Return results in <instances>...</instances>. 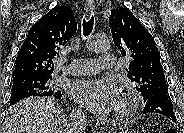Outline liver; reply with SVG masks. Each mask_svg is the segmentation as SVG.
<instances>
[{"mask_svg": "<svg viewBox=\"0 0 184 133\" xmlns=\"http://www.w3.org/2000/svg\"><path fill=\"white\" fill-rule=\"evenodd\" d=\"M66 117L54 98H26L9 110L4 133H67Z\"/></svg>", "mask_w": 184, "mask_h": 133, "instance_id": "obj_1", "label": "liver"}]
</instances>
